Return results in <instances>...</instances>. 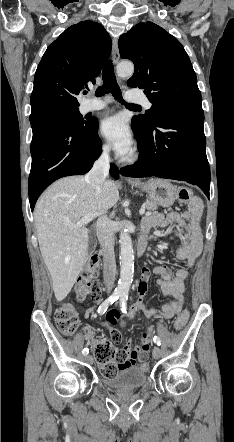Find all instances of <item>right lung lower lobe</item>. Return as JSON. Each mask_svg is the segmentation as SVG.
I'll use <instances>...</instances> for the list:
<instances>
[{"label": "right lung lower lobe", "instance_id": "right-lung-lower-lobe-1", "mask_svg": "<svg viewBox=\"0 0 234 442\" xmlns=\"http://www.w3.org/2000/svg\"><path fill=\"white\" fill-rule=\"evenodd\" d=\"M30 122L33 138L29 201L33 211L38 197L52 182L87 173L101 154L102 142L95 118L84 126L59 116H43ZM110 174L119 178V170L113 164Z\"/></svg>", "mask_w": 234, "mask_h": 442}]
</instances>
